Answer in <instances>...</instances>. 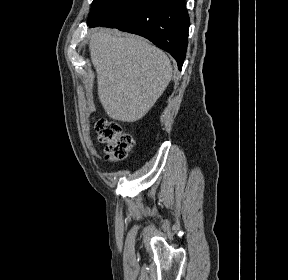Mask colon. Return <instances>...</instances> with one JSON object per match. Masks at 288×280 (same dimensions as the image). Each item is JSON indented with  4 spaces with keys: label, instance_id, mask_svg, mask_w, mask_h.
<instances>
[{
    "label": "colon",
    "instance_id": "obj_1",
    "mask_svg": "<svg viewBox=\"0 0 288 280\" xmlns=\"http://www.w3.org/2000/svg\"><path fill=\"white\" fill-rule=\"evenodd\" d=\"M94 129L99 142L105 145L106 158L111 162L124 160L134 146V139L121 127L107 120H96Z\"/></svg>",
    "mask_w": 288,
    "mask_h": 280
}]
</instances>
